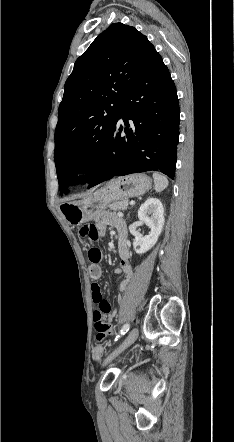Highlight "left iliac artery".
Listing matches in <instances>:
<instances>
[{"instance_id": "44dca946", "label": "left iliac artery", "mask_w": 234, "mask_h": 442, "mask_svg": "<svg viewBox=\"0 0 234 442\" xmlns=\"http://www.w3.org/2000/svg\"><path fill=\"white\" fill-rule=\"evenodd\" d=\"M129 328H130V324L126 323V324L122 327V329L120 330V335H118V336L115 338V340H118V338H119L120 336L125 335V334L128 332Z\"/></svg>"}]
</instances>
